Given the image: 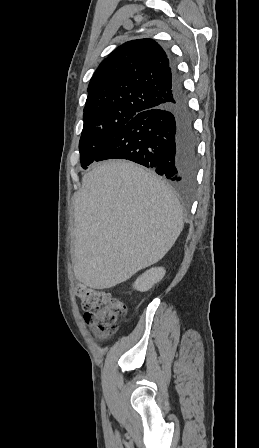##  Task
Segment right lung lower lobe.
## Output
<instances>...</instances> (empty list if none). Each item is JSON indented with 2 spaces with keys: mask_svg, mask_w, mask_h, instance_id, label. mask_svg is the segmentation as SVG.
Wrapping results in <instances>:
<instances>
[{
  "mask_svg": "<svg viewBox=\"0 0 259 448\" xmlns=\"http://www.w3.org/2000/svg\"><path fill=\"white\" fill-rule=\"evenodd\" d=\"M169 61L173 74L171 101L133 117L95 161L128 159L153 168L176 185L189 186L198 163L197 136L182 79L174 60Z\"/></svg>",
  "mask_w": 259,
  "mask_h": 448,
  "instance_id": "right-lung-lower-lobe-1",
  "label": "right lung lower lobe"
}]
</instances>
